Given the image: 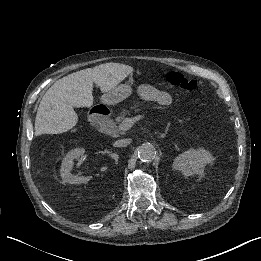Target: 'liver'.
I'll use <instances>...</instances> for the list:
<instances>
[{"mask_svg":"<svg viewBox=\"0 0 261 261\" xmlns=\"http://www.w3.org/2000/svg\"><path fill=\"white\" fill-rule=\"evenodd\" d=\"M133 69L87 68L69 74L56 81L40 101L36 119L35 135L60 134L69 131L78 122L74 107L93 105V84L102 92H108L123 81Z\"/></svg>","mask_w":261,"mask_h":261,"instance_id":"obj_1","label":"liver"}]
</instances>
